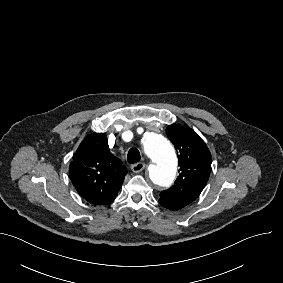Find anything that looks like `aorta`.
Returning <instances> with one entry per match:
<instances>
[{"label": "aorta", "instance_id": "762f6f07", "mask_svg": "<svg viewBox=\"0 0 283 283\" xmlns=\"http://www.w3.org/2000/svg\"><path fill=\"white\" fill-rule=\"evenodd\" d=\"M146 155L153 162L149 166L151 181L162 187H169L177 172V156L172 144L162 135L150 132L143 139Z\"/></svg>", "mask_w": 283, "mask_h": 283}]
</instances>
